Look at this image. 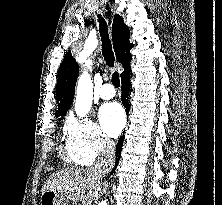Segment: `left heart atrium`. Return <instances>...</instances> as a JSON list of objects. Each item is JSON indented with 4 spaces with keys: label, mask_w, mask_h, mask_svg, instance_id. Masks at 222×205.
Returning <instances> with one entry per match:
<instances>
[{
    "label": "left heart atrium",
    "mask_w": 222,
    "mask_h": 205,
    "mask_svg": "<svg viewBox=\"0 0 222 205\" xmlns=\"http://www.w3.org/2000/svg\"><path fill=\"white\" fill-rule=\"evenodd\" d=\"M99 119L102 128L111 137H116L125 123L122 107L116 102L104 104L100 109Z\"/></svg>",
    "instance_id": "obj_1"
}]
</instances>
